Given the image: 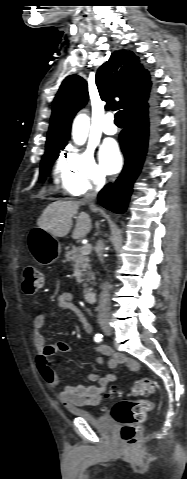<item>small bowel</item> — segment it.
<instances>
[{"instance_id":"1","label":"small bowel","mask_w":187,"mask_h":479,"mask_svg":"<svg viewBox=\"0 0 187 479\" xmlns=\"http://www.w3.org/2000/svg\"><path fill=\"white\" fill-rule=\"evenodd\" d=\"M57 308L61 310H69L75 312L80 317L83 328L86 334L92 332V328L88 323L86 317L80 312L79 308L74 304V295L69 292H62L56 298ZM54 315L53 311L44 313H34L32 315L33 323V342L38 352L35 360V365L48 386L53 389H59L61 382L58 374L52 369L51 357L56 353H66L74 349V346L65 341H59L53 344H46L40 329L44 325L46 319ZM96 352L108 356L110 359L108 365L115 369L119 365L124 364L132 371H138V362L134 359L128 358L123 354L114 353L109 347L104 345H97L91 347ZM101 357H97L96 363L100 365ZM116 376L109 374L103 378H99L97 372H92L88 375V380L96 381V384H73L58 391V398L67 408H80L85 406H97L102 401V394L105 392L108 383L115 381Z\"/></svg>"}]
</instances>
